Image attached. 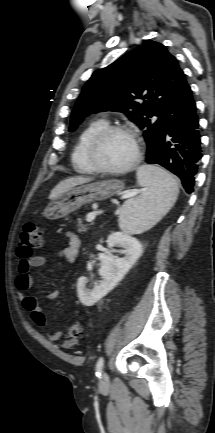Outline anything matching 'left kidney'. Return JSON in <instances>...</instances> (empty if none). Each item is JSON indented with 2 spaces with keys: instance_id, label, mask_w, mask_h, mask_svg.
Masks as SVG:
<instances>
[{
  "instance_id": "left-kidney-1",
  "label": "left kidney",
  "mask_w": 215,
  "mask_h": 433,
  "mask_svg": "<svg viewBox=\"0 0 215 433\" xmlns=\"http://www.w3.org/2000/svg\"><path fill=\"white\" fill-rule=\"evenodd\" d=\"M108 247L118 246L124 255L122 258H112L100 253L101 261L99 273L102 280L92 290L86 288L87 278L81 276L77 281V294L80 302L85 306H92L108 294L130 270L143 252L141 242L127 232H113L107 240Z\"/></svg>"
}]
</instances>
